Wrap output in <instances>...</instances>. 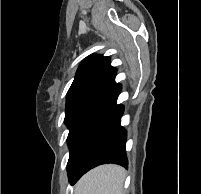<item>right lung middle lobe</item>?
<instances>
[{
  "mask_svg": "<svg viewBox=\"0 0 201 194\" xmlns=\"http://www.w3.org/2000/svg\"><path fill=\"white\" fill-rule=\"evenodd\" d=\"M89 102L86 101H80L75 102L72 104L66 105V112H65V123L70 128L73 121L77 117V115L80 113V111L88 104Z\"/></svg>",
  "mask_w": 201,
  "mask_h": 194,
  "instance_id": "right-lung-middle-lobe-1",
  "label": "right lung middle lobe"
}]
</instances>
